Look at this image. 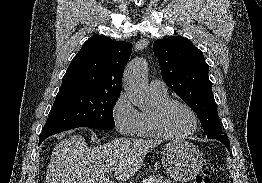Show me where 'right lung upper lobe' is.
<instances>
[{"mask_svg": "<svg viewBox=\"0 0 262 183\" xmlns=\"http://www.w3.org/2000/svg\"><path fill=\"white\" fill-rule=\"evenodd\" d=\"M131 50L129 42L93 35L72 59L58 93L93 90L120 94Z\"/></svg>", "mask_w": 262, "mask_h": 183, "instance_id": "obj_1", "label": "right lung upper lobe"}]
</instances>
